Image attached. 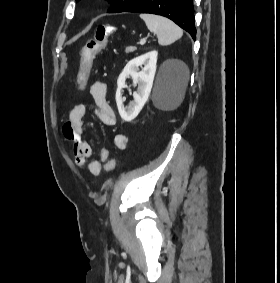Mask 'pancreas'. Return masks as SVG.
<instances>
[{
    "label": "pancreas",
    "instance_id": "cf45deb5",
    "mask_svg": "<svg viewBox=\"0 0 280 283\" xmlns=\"http://www.w3.org/2000/svg\"><path fill=\"white\" fill-rule=\"evenodd\" d=\"M136 50V47H133V46H128L125 48V52L126 53H132Z\"/></svg>",
    "mask_w": 280,
    "mask_h": 283
}]
</instances>
